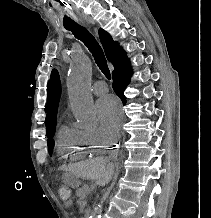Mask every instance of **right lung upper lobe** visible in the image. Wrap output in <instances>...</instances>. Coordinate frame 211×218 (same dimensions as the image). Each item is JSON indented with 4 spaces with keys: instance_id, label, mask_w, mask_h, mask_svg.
Segmentation results:
<instances>
[{
    "instance_id": "1",
    "label": "right lung upper lobe",
    "mask_w": 211,
    "mask_h": 218,
    "mask_svg": "<svg viewBox=\"0 0 211 218\" xmlns=\"http://www.w3.org/2000/svg\"><path fill=\"white\" fill-rule=\"evenodd\" d=\"M99 37L104 48L107 59L116 65L122 60L126 59L124 51L119 48L117 42H114L111 36L104 30H99ZM61 95V84L59 75L56 70L52 71L50 90L47 100V118H46V131L47 136L50 135L56 126V116L58 110L59 99Z\"/></svg>"
}]
</instances>
